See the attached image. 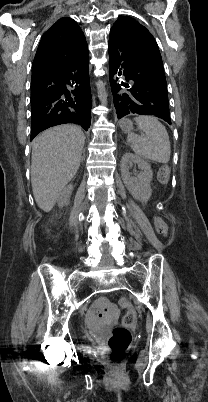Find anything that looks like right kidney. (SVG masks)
<instances>
[{
	"label": "right kidney",
	"instance_id": "1",
	"mask_svg": "<svg viewBox=\"0 0 208 402\" xmlns=\"http://www.w3.org/2000/svg\"><path fill=\"white\" fill-rule=\"evenodd\" d=\"M72 190H73V186H71V184H69V186H66V188H63V190L57 200V204H58L59 208H63V206H67V204H69Z\"/></svg>",
	"mask_w": 208,
	"mask_h": 402
}]
</instances>
